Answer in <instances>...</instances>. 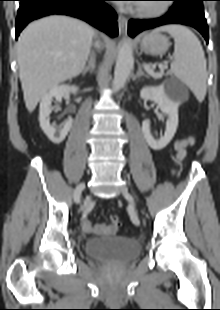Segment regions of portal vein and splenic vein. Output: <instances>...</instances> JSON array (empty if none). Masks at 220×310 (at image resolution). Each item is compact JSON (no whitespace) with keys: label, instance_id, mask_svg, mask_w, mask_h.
<instances>
[{"label":"portal vein and splenic vein","instance_id":"obj_1","mask_svg":"<svg viewBox=\"0 0 220 310\" xmlns=\"http://www.w3.org/2000/svg\"><path fill=\"white\" fill-rule=\"evenodd\" d=\"M164 68H166V65H164ZM153 75L157 77H161V74H153Z\"/></svg>","mask_w":220,"mask_h":310}]
</instances>
